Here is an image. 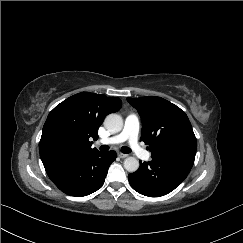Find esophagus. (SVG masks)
<instances>
[{
    "mask_svg": "<svg viewBox=\"0 0 243 243\" xmlns=\"http://www.w3.org/2000/svg\"><path fill=\"white\" fill-rule=\"evenodd\" d=\"M118 156H119L120 158H126V157H128L127 154H124V153H122V152H118Z\"/></svg>",
    "mask_w": 243,
    "mask_h": 243,
    "instance_id": "esophagus-1",
    "label": "esophagus"
}]
</instances>
